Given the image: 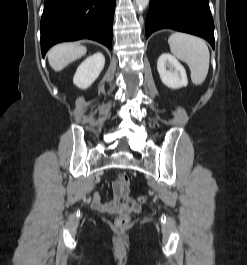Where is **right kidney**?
Returning a JSON list of instances; mask_svg holds the SVG:
<instances>
[{
	"instance_id": "right-kidney-1",
	"label": "right kidney",
	"mask_w": 247,
	"mask_h": 265,
	"mask_svg": "<svg viewBox=\"0 0 247 265\" xmlns=\"http://www.w3.org/2000/svg\"><path fill=\"white\" fill-rule=\"evenodd\" d=\"M105 57L98 52L86 58L77 68L73 78V83L81 88L86 89L91 86L98 78L104 68Z\"/></svg>"
}]
</instances>
